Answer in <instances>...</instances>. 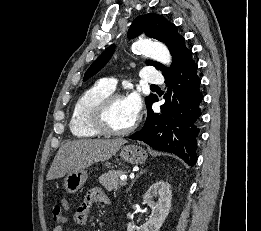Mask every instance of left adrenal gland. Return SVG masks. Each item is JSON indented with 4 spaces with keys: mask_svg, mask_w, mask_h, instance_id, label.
I'll return each instance as SVG.
<instances>
[{
    "mask_svg": "<svg viewBox=\"0 0 261 231\" xmlns=\"http://www.w3.org/2000/svg\"><path fill=\"white\" fill-rule=\"evenodd\" d=\"M146 172V170L141 169V171L139 172V174L135 177V179L132 181V183L130 184L129 188L127 189V192L131 190L134 182L136 181L137 178H139L140 175L144 174Z\"/></svg>",
    "mask_w": 261,
    "mask_h": 231,
    "instance_id": "obj_1",
    "label": "left adrenal gland"
}]
</instances>
